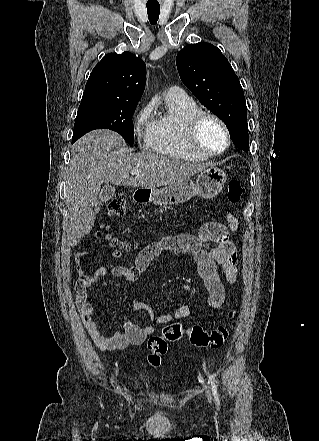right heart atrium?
Returning a JSON list of instances; mask_svg holds the SVG:
<instances>
[{"instance_id":"1","label":"right heart atrium","mask_w":319,"mask_h":441,"mask_svg":"<svg viewBox=\"0 0 319 441\" xmlns=\"http://www.w3.org/2000/svg\"><path fill=\"white\" fill-rule=\"evenodd\" d=\"M153 114L154 106L148 102L134 116L133 132L141 149H149L151 146L155 127Z\"/></svg>"}]
</instances>
